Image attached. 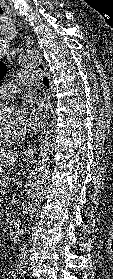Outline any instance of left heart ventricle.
<instances>
[{
	"label": "left heart ventricle",
	"instance_id": "b2bd125f",
	"mask_svg": "<svg viewBox=\"0 0 113 279\" xmlns=\"http://www.w3.org/2000/svg\"><path fill=\"white\" fill-rule=\"evenodd\" d=\"M2 125L10 133H24L20 109L17 107L7 112L2 119Z\"/></svg>",
	"mask_w": 113,
	"mask_h": 279
}]
</instances>
